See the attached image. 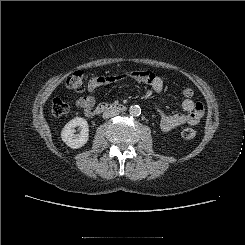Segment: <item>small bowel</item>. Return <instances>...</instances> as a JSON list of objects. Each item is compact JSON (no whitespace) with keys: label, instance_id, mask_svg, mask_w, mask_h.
<instances>
[{"label":"small bowel","instance_id":"c3829d8e","mask_svg":"<svg viewBox=\"0 0 245 245\" xmlns=\"http://www.w3.org/2000/svg\"><path fill=\"white\" fill-rule=\"evenodd\" d=\"M124 79H132L139 83L147 84L158 95H161L164 89L163 79L159 75L148 70H137L121 75L94 77L89 80L87 89L89 91H94L101 85ZM76 105L87 116H91L95 105V99L92 96H82L77 99ZM182 108L185 113L167 114L164 111L163 106H159L160 128L163 131L168 132L185 124L195 125L200 122L204 115V105L201 102L193 101L191 97H186L183 100Z\"/></svg>","mask_w":245,"mask_h":245}]
</instances>
